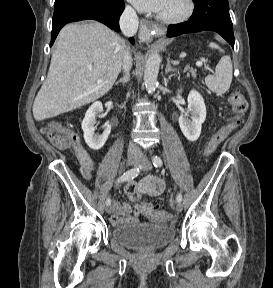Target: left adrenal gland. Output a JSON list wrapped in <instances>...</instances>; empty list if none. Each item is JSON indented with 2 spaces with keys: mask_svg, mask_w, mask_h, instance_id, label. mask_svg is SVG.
<instances>
[{
  "mask_svg": "<svg viewBox=\"0 0 273 288\" xmlns=\"http://www.w3.org/2000/svg\"><path fill=\"white\" fill-rule=\"evenodd\" d=\"M169 72H173V74L171 76H176L177 75V69L172 68L171 65H170V61L167 60L165 74L167 75Z\"/></svg>",
  "mask_w": 273,
  "mask_h": 288,
  "instance_id": "obj_1",
  "label": "left adrenal gland"
}]
</instances>
